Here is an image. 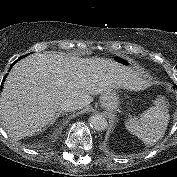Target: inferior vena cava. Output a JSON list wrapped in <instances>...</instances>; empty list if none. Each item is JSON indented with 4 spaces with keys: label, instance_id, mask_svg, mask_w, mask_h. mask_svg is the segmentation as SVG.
I'll return each mask as SVG.
<instances>
[{
    "label": "inferior vena cava",
    "instance_id": "1",
    "mask_svg": "<svg viewBox=\"0 0 177 177\" xmlns=\"http://www.w3.org/2000/svg\"><path fill=\"white\" fill-rule=\"evenodd\" d=\"M79 105L71 100H66L64 102H62L59 106V111L61 112H71V111H75L77 109H79Z\"/></svg>",
    "mask_w": 177,
    "mask_h": 177
}]
</instances>
